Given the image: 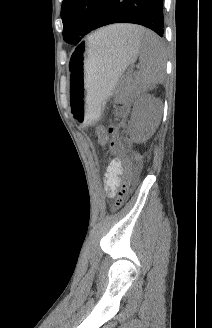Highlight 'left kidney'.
<instances>
[{
  "label": "left kidney",
  "mask_w": 212,
  "mask_h": 328,
  "mask_svg": "<svg viewBox=\"0 0 212 328\" xmlns=\"http://www.w3.org/2000/svg\"><path fill=\"white\" fill-rule=\"evenodd\" d=\"M162 114V103L151 95H141L134 103L130 132L136 142L150 138L155 132Z\"/></svg>",
  "instance_id": "1"
}]
</instances>
